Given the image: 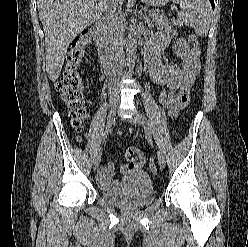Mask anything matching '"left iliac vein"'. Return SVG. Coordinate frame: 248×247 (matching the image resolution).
Segmentation results:
<instances>
[{
    "mask_svg": "<svg viewBox=\"0 0 248 247\" xmlns=\"http://www.w3.org/2000/svg\"><path fill=\"white\" fill-rule=\"evenodd\" d=\"M130 121L135 124V125H142V121H141V118L139 116V113L138 112H134L133 114V117L130 119ZM157 158H158V163H159V166L161 168H164L165 167V157L164 155L162 154L161 151H158L157 152Z\"/></svg>",
    "mask_w": 248,
    "mask_h": 247,
    "instance_id": "left-iliac-vein-1",
    "label": "left iliac vein"
}]
</instances>
